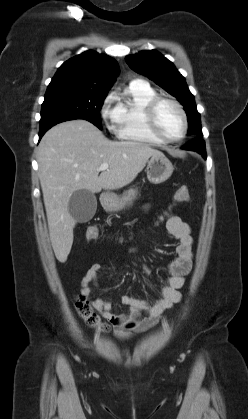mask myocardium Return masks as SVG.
Masks as SVG:
<instances>
[{"label": "myocardium", "mask_w": 248, "mask_h": 419, "mask_svg": "<svg viewBox=\"0 0 248 419\" xmlns=\"http://www.w3.org/2000/svg\"><path fill=\"white\" fill-rule=\"evenodd\" d=\"M163 102H167L173 105L178 110L182 118L183 130H182V133L177 138H173V139L167 138L163 136L161 132L158 130L157 122H156V111H157L158 106ZM144 119H145L146 128L149 131V133L162 143H166V144L177 143L185 138L188 131V119H187V115L183 107L180 105L179 102L168 97L156 96L153 99H151L145 106Z\"/></svg>", "instance_id": "myocardium-1"}]
</instances>
